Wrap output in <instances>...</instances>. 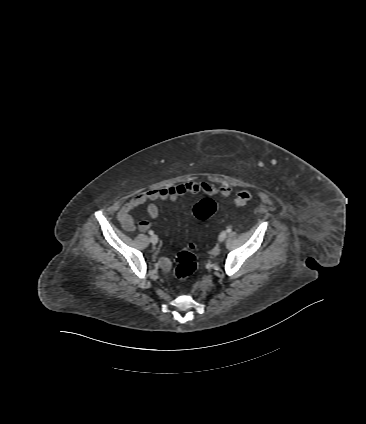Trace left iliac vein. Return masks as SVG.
<instances>
[{
  "instance_id": "1",
  "label": "left iliac vein",
  "mask_w": 366,
  "mask_h": 424,
  "mask_svg": "<svg viewBox=\"0 0 366 424\" xmlns=\"http://www.w3.org/2000/svg\"><path fill=\"white\" fill-rule=\"evenodd\" d=\"M227 233L226 231H222L219 235V241L222 242L226 239Z\"/></svg>"
}]
</instances>
